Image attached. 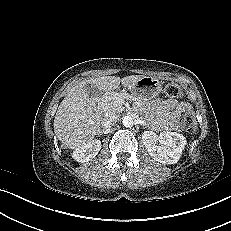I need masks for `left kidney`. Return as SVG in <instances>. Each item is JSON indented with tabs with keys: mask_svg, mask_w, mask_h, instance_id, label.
Wrapping results in <instances>:
<instances>
[{
	"mask_svg": "<svg viewBox=\"0 0 231 231\" xmlns=\"http://www.w3.org/2000/svg\"><path fill=\"white\" fill-rule=\"evenodd\" d=\"M142 139L149 155L163 164L177 163L187 143L182 134L169 131L161 132L159 135L145 131Z\"/></svg>",
	"mask_w": 231,
	"mask_h": 231,
	"instance_id": "1",
	"label": "left kidney"
}]
</instances>
